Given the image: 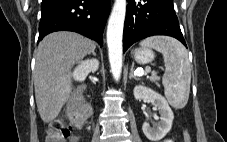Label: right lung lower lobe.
<instances>
[{
    "label": "right lung lower lobe",
    "mask_w": 227,
    "mask_h": 142,
    "mask_svg": "<svg viewBox=\"0 0 227 142\" xmlns=\"http://www.w3.org/2000/svg\"><path fill=\"white\" fill-rule=\"evenodd\" d=\"M110 0H43L38 42L55 31H73L103 44Z\"/></svg>",
    "instance_id": "obj_1"
}]
</instances>
